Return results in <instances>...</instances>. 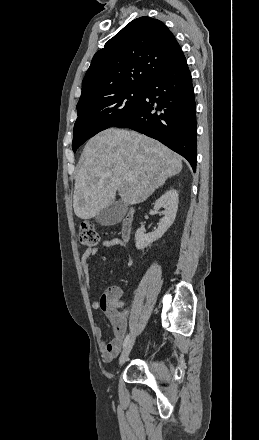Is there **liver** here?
I'll return each instance as SVG.
<instances>
[{"mask_svg":"<svg viewBox=\"0 0 259 440\" xmlns=\"http://www.w3.org/2000/svg\"><path fill=\"white\" fill-rule=\"evenodd\" d=\"M181 170V157L159 141L135 131L109 128L84 148L75 177L74 212L81 219H90L110 206L117 192L125 205L142 203Z\"/></svg>","mask_w":259,"mask_h":440,"instance_id":"6515ba94","label":"liver"}]
</instances>
